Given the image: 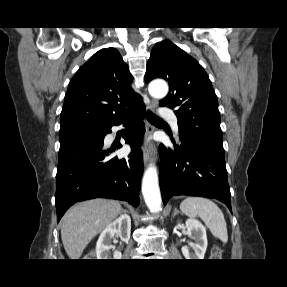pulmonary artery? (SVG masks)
<instances>
[{"label": "pulmonary artery", "instance_id": "pulmonary-artery-1", "mask_svg": "<svg viewBox=\"0 0 287 287\" xmlns=\"http://www.w3.org/2000/svg\"><path fill=\"white\" fill-rule=\"evenodd\" d=\"M160 115L164 117H168L171 119L173 127L178 130V120L177 118L173 115L172 110L168 107H162L160 109Z\"/></svg>", "mask_w": 287, "mask_h": 287}]
</instances>
